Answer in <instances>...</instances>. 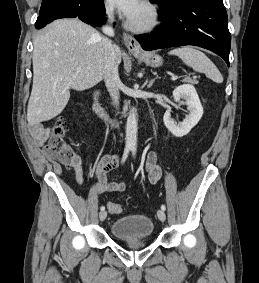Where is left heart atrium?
<instances>
[{
	"label": "left heart atrium",
	"instance_id": "39dd6f15",
	"mask_svg": "<svg viewBox=\"0 0 259 283\" xmlns=\"http://www.w3.org/2000/svg\"><path fill=\"white\" fill-rule=\"evenodd\" d=\"M119 9L123 16L131 19L142 5L141 0H109Z\"/></svg>",
	"mask_w": 259,
	"mask_h": 283
}]
</instances>
